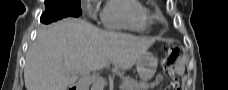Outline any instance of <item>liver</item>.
<instances>
[{"instance_id": "liver-1", "label": "liver", "mask_w": 228, "mask_h": 90, "mask_svg": "<svg viewBox=\"0 0 228 90\" xmlns=\"http://www.w3.org/2000/svg\"><path fill=\"white\" fill-rule=\"evenodd\" d=\"M154 42L153 38L100 30L82 19H63L40 28L28 49L26 90H66L75 74L85 75L110 64L130 69Z\"/></svg>"}]
</instances>
